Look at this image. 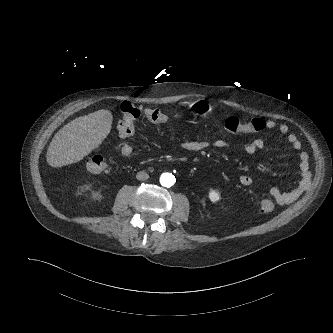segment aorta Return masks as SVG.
Listing matches in <instances>:
<instances>
[{"mask_svg":"<svg viewBox=\"0 0 333 333\" xmlns=\"http://www.w3.org/2000/svg\"><path fill=\"white\" fill-rule=\"evenodd\" d=\"M175 182V178L170 173H163L160 177V183L161 185L165 187H171Z\"/></svg>","mask_w":333,"mask_h":333,"instance_id":"obj_1","label":"aorta"}]
</instances>
